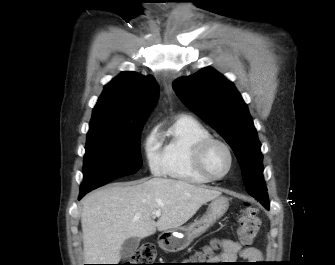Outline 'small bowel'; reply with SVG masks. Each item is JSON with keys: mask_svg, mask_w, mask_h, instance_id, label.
<instances>
[{"mask_svg": "<svg viewBox=\"0 0 335 265\" xmlns=\"http://www.w3.org/2000/svg\"><path fill=\"white\" fill-rule=\"evenodd\" d=\"M261 252L256 247H244L241 241L223 239L220 241V252L211 258L212 264L221 265L232 263L238 258L249 262L261 260Z\"/></svg>", "mask_w": 335, "mask_h": 265, "instance_id": "1", "label": "small bowel"}]
</instances>
